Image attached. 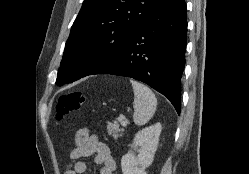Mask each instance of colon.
Segmentation results:
<instances>
[{
	"label": "colon",
	"mask_w": 249,
	"mask_h": 174,
	"mask_svg": "<svg viewBox=\"0 0 249 174\" xmlns=\"http://www.w3.org/2000/svg\"><path fill=\"white\" fill-rule=\"evenodd\" d=\"M85 102V95L80 90H71L62 94L57 103V116L62 118L81 109Z\"/></svg>",
	"instance_id": "5ec220e1"
}]
</instances>
